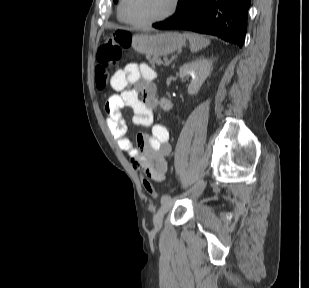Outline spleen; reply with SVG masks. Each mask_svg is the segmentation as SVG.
Masks as SVG:
<instances>
[{"label":"spleen","instance_id":"spleen-1","mask_svg":"<svg viewBox=\"0 0 309 288\" xmlns=\"http://www.w3.org/2000/svg\"><path fill=\"white\" fill-rule=\"evenodd\" d=\"M183 35L189 40L190 49L193 53L207 47L210 44V40L203 35L185 32Z\"/></svg>","mask_w":309,"mask_h":288}]
</instances>
